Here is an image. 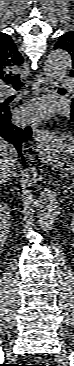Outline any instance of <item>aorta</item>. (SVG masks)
Here are the masks:
<instances>
[{
  "mask_svg": "<svg viewBox=\"0 0 74 366\" xmlns=\"http://www.w3.org/2000/svg\"><path fill=\"white\" fill-rule=\"evenodd\" d=\"M72 66L71 55L64 49L52 50L45 63L46 76L49 84L55 86ZM37 222L43 232L52 229L58 216V201L55 191L50 187H43L37 202Z\"/></svg>",
  "mask_w": 74,
  "mask_h": 366,
  "instance_id": "obj_1",
  "label": "aorta"
}]
</instances>
